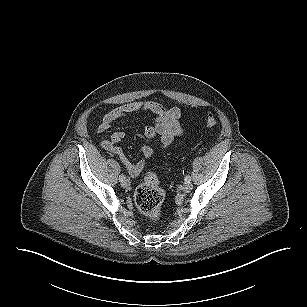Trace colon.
Returning a JSON list of instances; mask_svg holds the SVG:
<instances>
[{"label": "colon", "mask_w": 307, "mask_h": 307, "mask_svg": "<svg viewBox=\"0 0 307 307\" xmlns=\"http://www.w3.org/2000/svg\"><path fill=\"white\" fill-rule=\"evenodd\" d=\"M217 120L212 112L207 113L206 127L212 128ZM164 190L160 185L158 176L149 171L146 173L143 182L137 187L134 200L137 208L152 221H158L163 217Z\"/></svg>", "instance_id": "5ec220e1"}]
</instances>
